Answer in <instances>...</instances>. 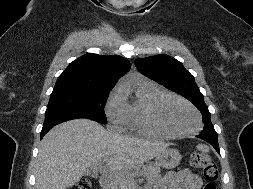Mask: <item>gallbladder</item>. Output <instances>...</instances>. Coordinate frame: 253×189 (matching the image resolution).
Segmentation results:
<instances>
[{
	"label": "gallbladder",
	"mask_w": 253,
	"mask_h": 189,
	"mask_svg": "<svg viewBox=\"0 0 253 189\" xmlns=\"http://www.w3.org/2000/svg\"><path fill=\"white\" fill-rule=\"evenodd\" d=\"M98 174V171L97 170H94V169H88L86 172H85V175L87 176H92V177H96Z\"/></svg>",
	"instance_id": "gallbladder-1"
}]
</instances>
